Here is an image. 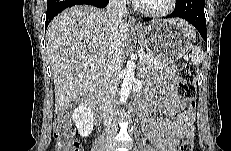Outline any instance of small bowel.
Masks as SVG:
<instances>
[{
  "instance_id": "1",
  "label": "small bowel",
  "mask_w": 231,
  "mask_h": 151,
  "mask_svg": "<svg viewBox=\"0 0 231 151\" xmlns=\"http://www.w3.org/2000/svg\"><path fill=\"white\" fill-rule=\"evenodd\" d=\"M176 83L174 73L164 74L147 90L142 107L145 137L160 151H177L181 139L194 135V111L183 106ZM156 92L162 94L161 99H153ZM151 113H161L165 118L152 117Z\"/></svg>"
}]
</instances>
